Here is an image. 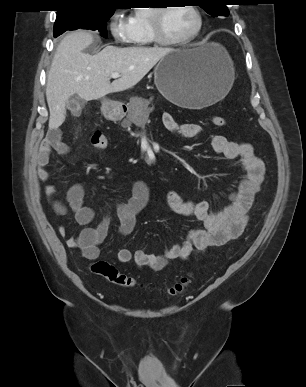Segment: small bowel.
I'll return each mask as SVG.
<instances>
[{
	"label": "small bowel",
	"mask_w": 306,
	"mask_h": 387,
	"mask_svg": "<svg viewBox=\"0 0 306 387\" xmlns=\"http://www.w3.org/2000/svg\"><path fill=\"white\" fill-rule=\"evenodd\" d=\"M162 122L168 131L183 138L195 137L202 131L199 124H180L167 112L162 115ZM210 143L214 152L228 160H237L241 164L243 177L237 191L230 195V203L219 210L211 211L207 201H184L177 192L170 191L166 197L168 207L176 214L194 218L197 226L189 230L180 242L165 249L162 254L148 253L144 249L135 251L120 249L117 253L120 263L134 261L139 268L159 271L172 260H186L195 252H204L210 247L224 245L243 233L248 222V213L261 190L265 175L264 163L249 143L230 141L222 135H213ZM52 151L61 155L69 152L68 145L61 139L59 129L49 131L36 157V172L42 182L50 178L47 166ZM55 192L53 185L45 187V194L53 211L58 215H65L67 208L55 198ZM83 199L82 185L79 183L72 185L67 193V201L76 222L84 228L77 236L67 237L68 232L64 225L58 227V232L62 237H67L66 243L69 248L79 249L86 259L95 261L100 257V246L108 236L111 223L108 215L104 213L96 225L90 226L95 212L91 207L84 205ZM148 199V186L144 182H137L129 199L116 202L115 226L120 235L127 236L134 230L136 217L146 206Z\"/></svg>",
	"instance_id": "1"
}]
</instances>
